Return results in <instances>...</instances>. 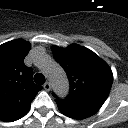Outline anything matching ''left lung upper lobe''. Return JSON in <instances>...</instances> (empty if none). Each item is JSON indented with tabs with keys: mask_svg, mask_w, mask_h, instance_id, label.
Wrapping results in <instances>:
<instances>
[{
	"mask_svg": "<svg viewBox=\"0 0 128 128\" xmlns=\"http://www.w3.org/2000/svg\"><path fill=\"white\" fill-rule=\"evenodd\" d=\"M52 51L70 81L69 95L63 101L99 109L107 99L113 82L107 63L93 51L77 44L67 48L53 46Z\"/></svg>",
	"mask_w": 128,
	"mask_h": 128,
	"instance_id": "obj_1",
	"label": "left lung upper lobe"
}]
</instances>
